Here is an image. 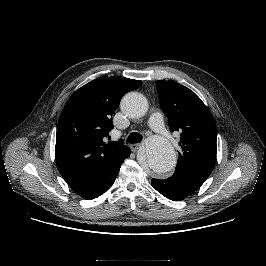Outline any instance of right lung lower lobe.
<instances>
[{
	"label": "right lung lower lobe",
	"mask_w": 266,
	"mask_h": 266,
	"mask_svg": "<svg viewBox=\"0 0 266 266\" xmlns=\"http://www.w3.org/2000/svg\"><path fill=\"white\" fill-rule=\"evenodd\" d=\"M129 149L116 163H113L81 180L68 182L74 192L84 199L91 200L106 192L114 183L123 161L130 155Z\"/></svg>",
	"instance_id": "98d812e1"
}]
</instances>
